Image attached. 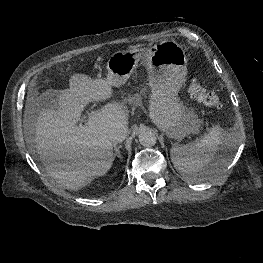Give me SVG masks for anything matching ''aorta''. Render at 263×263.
I'll return each instance as SVG.
<instances>
[{
	"mask_svg": "<svg viewBox=\"0 0 263 263\" xmlns=\"http://www.w3.org/2000/svg\"><path fill=\"white\" fill-rule=\"evenodd\" d=\"M157 138L154 132L150 130L142 131L139 134V142L144 147H151L156 144Z\"/></svg>",
	"mask_w": 263,
	"mask_h": 263,
	"instance_id": "obj_1",
	"label": "aorta"
}]
</instances>
